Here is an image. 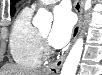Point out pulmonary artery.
<instances>
[{
  "mask_svg": "<svg viewBox=\"0 0 102 75\" xmlns=\"http://www.w3.org/2000/svg\"><path fill=\"white\" fill-rule=\"evenodd\" d=\"M55 2L54 0H38V1H35L32 5H31V8L32 9H36L40 6H44V5H47V4H50V3H53Z\"/></svg>",
  "mask_w": 102,
  "mask_h": 75,
  "instance_id": "pulmonary-artery-1",
  "label": "pulmonary artery"
}]
</instances>
